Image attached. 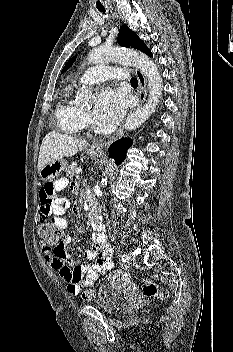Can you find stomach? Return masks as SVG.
<instances>
[{
    "instance_id": "stomach-1",
    "label": "stomach",
    "mask_w": 233,
    "mask_h": 352,
    "mask_svg": "<svg viewBox=\"0 0 233 352\" xmlns=\"http://www.w3.org/2000/svg\"><path fill=\"white\" fill-rule=\"evenodd\" d=\"M89 155L92 158L98 157L101 154L100 150L89 149ZM66 161L64 159L54 160L46 164L39 172L41 179L48 181L58 177L62 171L66 168Z\"/></svg>"
}]
</instances>
